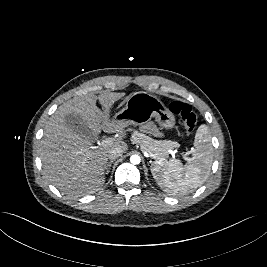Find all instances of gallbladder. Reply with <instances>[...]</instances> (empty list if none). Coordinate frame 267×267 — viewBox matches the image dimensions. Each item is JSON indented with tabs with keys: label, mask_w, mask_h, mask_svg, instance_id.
<instances>
[{
	"label": "gallbladder",
	"mask_w": 267,
	"mask_h": 267,
	"mask_svg": "<svg viewBox=\"0 0 267 267\" xmlns=\"http://www.w3.org/2000/svg\"><path fill=\"white\" fill-rule=\"evenodd\" d=\"M66 123L70 129L82 137H95L93 132L86 126L84 121L76 114L67 115Z\"/></svg>",
	"instance_id": "gallbladder-1"
}]
</instances>
